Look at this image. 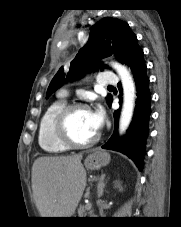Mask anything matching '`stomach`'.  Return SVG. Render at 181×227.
I'll use <instances>...</instances> for the list:
<instances>
[{
    "label": "stomach",
    "instance_id": "1",
    "mask_svg": "<svg viewBox=\"0 0 181 227\" xmlns=\"http://www.w3.org/2000/svg\"><path fill=\"white\" fill-rule=\"evenodd\" d=\"M109 161L110 156L108 153L95 150L86 157L84 164L89 170H99L101 167L106 166Z\"/></svg>",
    "mask_w": 181,
    "mask_h": 227
}]
</instances>
